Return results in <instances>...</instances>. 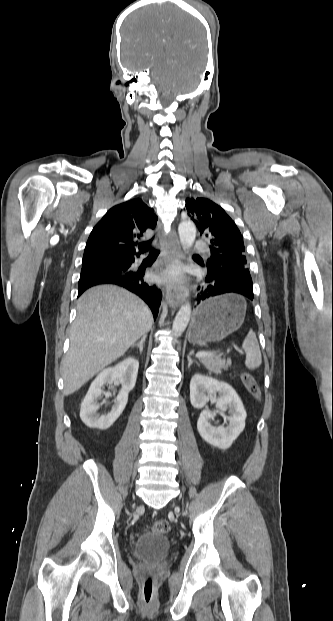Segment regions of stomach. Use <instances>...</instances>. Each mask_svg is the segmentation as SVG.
Returning a JSON list of instances; mask_svg holds the SVG:
<instances>
[{"label":"stomach","mask_w":333,"mask_h":621,"mask_svg":"<svg viewBox=\"0 0 333 621\" xmlns=\"http://www.w3.org/2000/svg\"><path fill=\"white\" fill-rule=\"evenodd\" d=\"M246 304L238 295L210 298L195 311L188 339L193 344L219 342L240 328Z\"/></svg>","instance_id":"0dacf381"}]
</instances>
